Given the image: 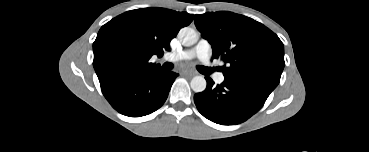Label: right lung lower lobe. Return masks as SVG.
Listing matches in <instances>:
<instances>
[{"label":"right lung lower lobe","mask_w":369,"mask_h":152,"mask_svg":"<svg viewBox=\"0 0 369 152\" xmlns=\"http://www.w3.org/2000/svg\"><path fill=\"white\" fill-rule=\"evenodd\" d=\"M178 74L164 69L125 76L101 88L108 102L119 113L140 117L160 108Z\"/></svg>","instance_id":"obj_1"}]
</instances>
